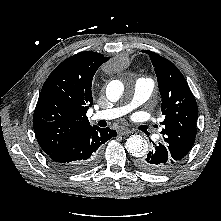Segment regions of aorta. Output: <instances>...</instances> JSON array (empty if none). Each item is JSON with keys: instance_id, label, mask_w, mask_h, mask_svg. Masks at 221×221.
<instances>
[{"instance_id": "obj_1", "label": "aorta", "mask_w": 221, "mask_h": 221, "mask_svg": "<svg viewBox=\"0 0 221 221\" xmlns=\"http://www.w3.org/2000/svg\"><path fill=\"white\" fill-rule=\"evenodd\" d=\"M123 94L124 85L121 81L113 80L107 85L106 96L110 101H118L122 98ZM125 148L133 156L141 157L146 154L148 145L140 135H131L126 140Z\"/></svg>"}]
</instances>
